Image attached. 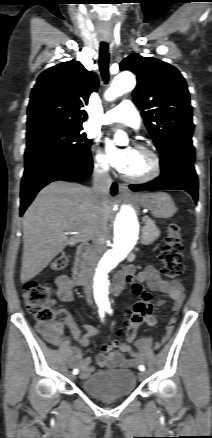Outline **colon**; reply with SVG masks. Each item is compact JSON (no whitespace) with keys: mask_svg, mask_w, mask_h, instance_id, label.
<instances>
[{"mask_svg":"<svg viewBox=\"0 0 212 438\" xmlns=\"http://www.w3.org/2000/svg\"><path fill=\"white\" fill-rule=\"evenodd\" d=\"M162 262L161 273L167 279H178L184 270L183 244L179 225L171 223L167 227L164 244L160 251ZM69 257L66 253L57 255L51 262V269L61 271L67 267ZM23 299L27 310L35 317L40 325H51L54 312L51 308L52 290L49 285L39 282H29L25 285ZM152 314L151 296L149 293L141 297L132 309L125 314L126 338L132 342L138 328ZM54 331H59L58 325H52Z\"/></svg>","mask_w":212,"mask_h":438,"instance_id":"1","label":"colon"}]
</instances>
